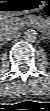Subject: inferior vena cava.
I'll list each match as a JSON object with an SVG mask.
<instances>
[{
  "instance_id": "obj_1",
  "label": "inferior vena cava",
  "mask_w": 50,
  "mask_h": 111,
  "mask_svg": "<svg viewBox=\"0 0 50 111\" xmlns=\"http://www.w3.org/2000/svg\"><path fill=\"white\" fill-rule=\"evenodd\" d=\"M20 37V32L19 31H16V30H9V31H6L4 33H2V39L4 40H12L14 38H18Z\"/></svg>"
}]
</instances>
